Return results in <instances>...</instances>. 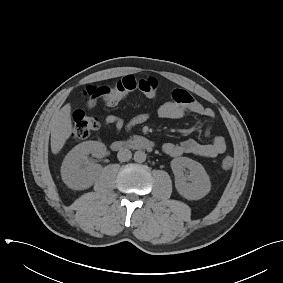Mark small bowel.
Instances as JSON below:
<instances>
[{"label": "small bowel", "mask_w": 283, "mask_h": 283, "mask_svg": "<svg viewBox=\"0 0 283 283\" xmlns=\"http://www.w3.org/2000/svg\"><path fill=\"white\" fill-rule=\"evenodd\" d=\"M107 87H89L87 90L88 106L93 107L96 100L104 98ZM172 100L162 104L158 109V116L163 119H182L188 113L196 114L205 118H213L214 111L202 105L188 91L174 89ZM109 106H112L108 104ZM149 113H141L125 122L117 115H108L105 118L106 126H113L116 131H131L150 119ZM211 127L207 126L205 135L210 136ZM226 141L222 136H215L208 143H201L195 139H186L179 143L167 142L163 145V151L171 157H178L183 154H190L201 158H214L226 151Z\"/></svg>", "instance_id": "small-bowel-1"}]
</instances>
